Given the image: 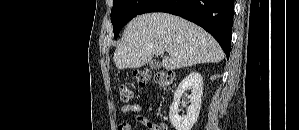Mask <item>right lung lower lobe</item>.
I'll use <instances>...</instances> for the list:
<instances>
[{"mask_svg": "<svg viewBox=\"0 0 299 130\" xmlns=\"http://www.w3.org/2000/svg\"><path fill=\"white\" fill-rule=\"evenodd\" d=\"M166 12L183 17L208 31L229 58L233 0H150L139 14Z\"/></svg>", "mask_w": 299, "mask_h": 130, "instance_id": "98d812e1", "label": "right lung lower lobe"}]
</instances>
